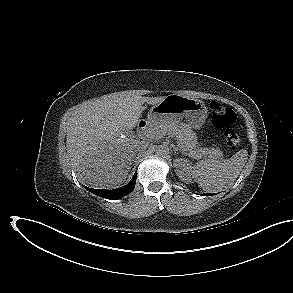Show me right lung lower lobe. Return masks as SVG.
<instances>
[{"mask_svg": "<svg viewBox=\"0 0 293 293\" xmlns=\"http://www.w3.org/2000/svg\"><path fill=\"white\" fill-rule=\"evenodd\" d=\"M136 173L134 174L133 178L131 179V181L120 188L117 189H113V190H104V189H92V188H88L86 186H84L88 191L102 197V198H106V199H119L121 197H123L124 195L130 193L135 186V181H136Z\"/></svg>", "mask_w": 293, "mask_h": 293, "instance_id": "98d812e1", "label": "right lung lower lobe"}]
</instances>
